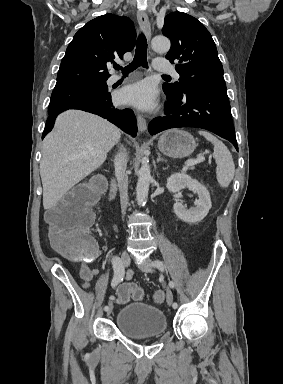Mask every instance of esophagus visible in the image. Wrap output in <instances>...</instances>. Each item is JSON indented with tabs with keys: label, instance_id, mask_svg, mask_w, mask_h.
<instances>
[{
	"label": "esophagus",
	"instance_id": "obj_1",
	"mask_svg": "<svg viewBox=\"0 0 283 384\" xmlns=\"http://www.w3.org/2000/svg\"><path fill=\"white\" fill-rule=\"evenodd\" d=\"M137 20L139 22V25L141 29L143 30L148 43H149V50H151L150 40H151V25L148 20V16L144 11L139 10L137 12ZM137 126L138 130L140 132H144L147 129L146 120L141 114H137Z\"/></svg>",
	"mask_w": 283,
	"mask_h": 384
}]
</instances>
